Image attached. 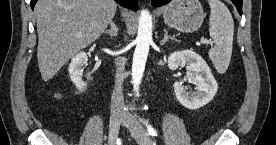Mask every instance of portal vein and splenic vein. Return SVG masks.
I'll use <instances>...</instances> for the list:
<instances>
[{"label": "portal vein and splenic vein", "mask_w": 276, "mask_h": 145, "mask_svg": "<svg viewBox=\"0 0 276 145\" xmlns=\"http://www.w3.org/2000/svg\"><path fill=\"white\" fill-rule=\"evenodd\" d=\"M201 43H202V44H207V45H213L214 42L211 41V40L202 39V40H201Z\"/></svg>", "instance_id": "1"}]
</instances>
